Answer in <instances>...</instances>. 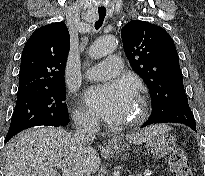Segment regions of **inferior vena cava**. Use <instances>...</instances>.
Returning <instances> with one entry per match:
<instances>
[{"instance_id": "inferior-vena-cava-1", "label": "inferior vena cava", "mask_w": 205, "mask_h": 176, "mask_svg": "<svg viewBox=\"0 0 205 176\" xmlns=\"http://www.w3.org/2000/svg\"><path fill=\"white\" fill-rule=\"evenodd\" d=\"M76 131L73 141L83 148H90L91 143L95 139V134L99 130L97 119L89 116H79L74 119Z\"/></svg>"}]
</instances>
